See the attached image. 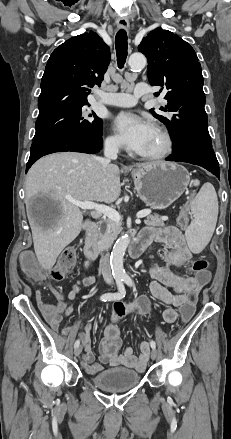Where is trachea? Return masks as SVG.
<instances>
[{
	"label": "trachea",
	"instance_id": "1",
	"mask_svg": "<svg viewBox=\"0 0 231 439\" xmlns=\"http://www.w3.org/2000/svg\"><path fill=\"white\" fill-rule=\"evenodd\" d=\"M115 47L118 67L121 69L124 67V64L126 62L128 49L127 33L124 29H121L117 32L115 38Z\"/></svg>",
	"mask_w": 231,
	"mask_h": 439
}]
</instances>
